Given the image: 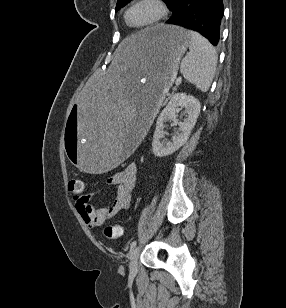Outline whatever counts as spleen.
Returning a JSON list of instances; mask_svg holds the SVG:
<instances>
[{"label": "spleen", "instance_id": "spleen-1", "mask_svg": "<svg viewBox=\"0 0 286 308\" xmlns=\"http://www.w3.org/2000/svg\"><path fill=\"white\" fill-rule=\"evenodd\" d=\"M190 36L189 53L182 60L180 71L184 78L202 92H206L213 80L217 54L212 44L195 31H187Z\"/></svg>", "mask_w": 286, "mask_h": 308}]
</instances>
